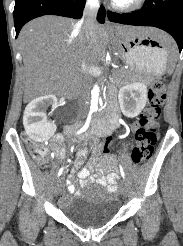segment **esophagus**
<instances>
[{
  "label": "esophagus",
  "instance_id": "esophagus-1",
  "mask_svg": "<svg viewBox=\"0 0 183 246\" xmlns=\"http://www.w3.org/2000/svg\"><path fill=\"white\" fill-rule=\"evenodd\" d=\"M105 23H106V25H107V26H111V23H110V21H109L108 17H106V21H105Z\"/></svg>",
  "mask_w": 183,
  "mask_h": 246
}]
</instances>
